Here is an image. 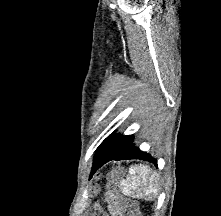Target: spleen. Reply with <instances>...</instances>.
I'll use <instances>...</instances> for the list:
<instances>
[{"label": "spleen", "mask_w": 221, "mask_h": 216, "mask_svg": "<svg viewBox=\"0 0 221 216\" xmlns=\"http://www.w3.org/2000/svg\"><path fill=\"white\" fill-rule=\"evenodd\" d=\"M120 188L127 196L136 198L155 197L158 194V177L147 165H134L129 168L126 180L120 181Z\"/></svg>", "instance_id": "1"}]
</instances>
